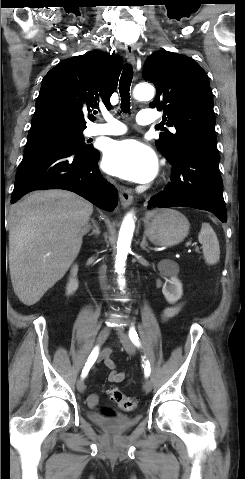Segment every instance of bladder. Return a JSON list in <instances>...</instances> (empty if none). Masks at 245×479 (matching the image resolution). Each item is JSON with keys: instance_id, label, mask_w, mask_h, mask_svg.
<instances>
[{"instance_id": "bladder-1", "label": "bladder", "mask_w": 245, "mask_h": 479, "mask_svg": "<svg viewBox=\"0 0 245 479\" xmlns=\"http://www.w3.org/2000/svg\"><path fill=\"white\" fill-rule=\"evenodd\" d=\"M94 424L103 429L104 431L111 434H118L126 431L131 426H133L137 420L135 418L124 417V418H114V419H101L95 418L93 420Z\"/></svg>"}]
</instances>
